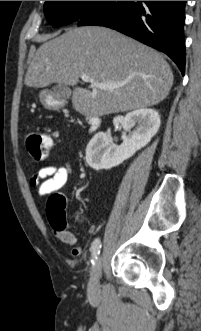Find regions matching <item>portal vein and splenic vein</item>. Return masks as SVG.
I'll return each instance as SVG.
<instances>
[{"label": "portal vein and splenic vein", "mask_w": 201, "mask_h": 331, "mask_svg": "<svg viewBox=\"0 0 201 331\" xmlns=\"http://www.w3.org/2000/svg\"><path fill=\"white\" fill-rule=\"evenodd\" d=\"M80 78L83 82H89L93 88H100V89H104V90H106V89H109V90L116 89V88H119V87H122V86L126 85V83H127L126 81L125 82L114 83V84L100 83V82H97L94 79H91L87 74H82L80 76Z\"/></svg>", "instance_id": "portal-vein-and-splenic-vein-1"}]
</instances>
